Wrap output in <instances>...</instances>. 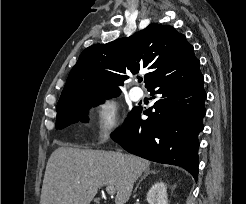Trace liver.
<instances>
[{
	"label": "liver",
	"mask_w": 246,
	"mask_h": 204,
	"mask_svg": "<svg viewBox=\"0 0 246 204\" xmlns=\"http://www.w3.org/2000/svg\"><path fill=\"white\" fill-rule=\"evenodd\" d=\"M150 162L119 151L59 147L49 157L40 204H90L98 188L113 186L115 204H125Z\"/></svg>",
	"instance_id": "liver-1"
}]
</instances>
